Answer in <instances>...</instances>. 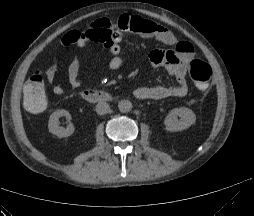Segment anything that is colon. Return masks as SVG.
Instances as JSON below:
<instances>
[{"instance_id":"colon-1","label":"colon","mask_w":254,"mask_h":216,"mask_svg":"<svg viewBox=\"0 0 254 216\" xmlns=\"http://www.w3.org/2000/svg\"><path fill=\"white\" fill-rule=\"evenodd\" d=\"M83 36L92 42H99L104 45L111 43L109 31L105 29H88ZM56 66V65H54ZM187 73L197 88L205 90L212 79V68L205 61L192 58L187 63ZM42 70L35 71L27 81L23 89V103L31 113H42L48 107V96L44 92Z\"/></svg>"}]
</instances>
